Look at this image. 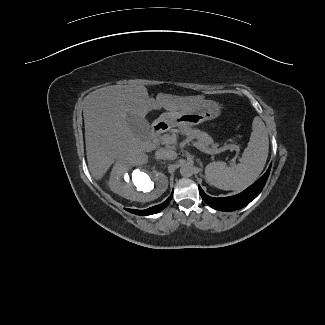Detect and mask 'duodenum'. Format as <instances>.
<instances>
[{
  "label": "duodenum",
  "instance_id": "obj_1",
  "mask_svg": "<svg viewBox=\"0 0 325 325\" xmlns=\"http://www.w3.org/2000/svg\"><path fill=\"white\" fill-rule=\"evenodd\" d=\"M167 128V125L164 122H157L153 125L151 134L154 138L159 137Z\"/></svg>",
  "mask_w": 325,
  "mask_h": 325
}]
</instances>
